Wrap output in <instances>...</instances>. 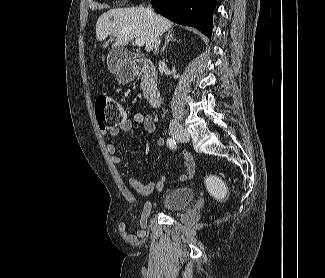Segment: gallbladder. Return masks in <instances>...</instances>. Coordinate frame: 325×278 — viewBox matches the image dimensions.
Instances as JSON below:
<instances>
[{"instance_id": "obj_1", "label": "gallbladder", "mask_w": 325, "mask_h": 278, "mask_svg": "<svg viewBox=\"0 0 325 278\" xmlns=\"http://www.w3.org/2000/svg\"><path fill=\"white\" fill-rule=\"evenodd\" d=\"M123 58L132 60L135 55L122 46H116L110 51L107 64L111 73L117 72L118 65Z\"/></svg>"}]
</instances>
